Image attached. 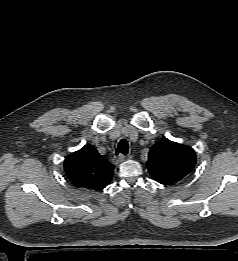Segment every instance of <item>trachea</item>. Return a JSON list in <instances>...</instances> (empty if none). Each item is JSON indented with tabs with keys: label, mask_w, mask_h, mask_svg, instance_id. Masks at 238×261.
I'll return each mask as SVG.
<instances>
[{
	"label": "trachea",
	"mask_w": 238,
	"mask_h": 261,
	"mask_svg": "<svg viewBox=\"0 0 238 261\" xmlns=\"http://www.w3.org/2000/svg\"><path fill=\"white\" fill-rule=\"evenodd\" d=\"M128 142L126 141V139H121L119 144H118V148L116 150V155H118L119 153H122L123 155H126L128 153Z\"/></svg>",
	"instance_id": "1"
}]
</instances>
